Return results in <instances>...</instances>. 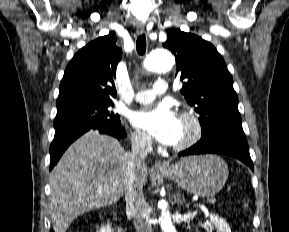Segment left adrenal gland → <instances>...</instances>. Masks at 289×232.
Instances as JSON below:
<instances>
[{
  "label": "left adrenal gland",
  "instance_id": "left-adrenal-gland-1",
  "mask_svg": "<svg viewBox=\"0 0 289 232\" xmlns=\"http://www.w3.org/2000/svg\"><path fill=\"white\" fill-rule=\"evenodd\" d=\"M175 201L177 202V204H182V200L175 199Z\"/></svg>",
  "mask_w": 289,
  "mask_h": 232
}]
</instances>
